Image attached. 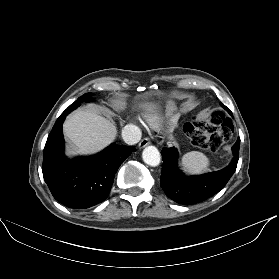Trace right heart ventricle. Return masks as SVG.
<instances>
[{
    "label": "right heart ventricle",
    "mask_w": 279,
    "mask_h": 279,
    "mask_svg": "<svg viewBox=\"0 0 279 279\" xmlns=\"http://www.w3.org/2000/svg\"><path fill=\"white\" fill-rule=\"evenodd\" d=\"M161 120V115L154 114L147 118V123L153 128H159Z\"/></svg>",
    "instance_id": "e07e8e85"
}]
</instances>
